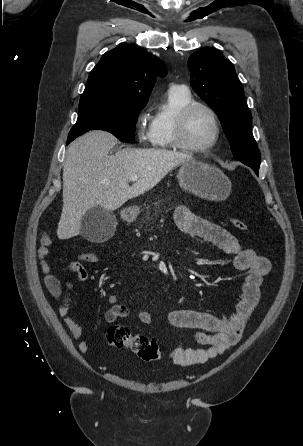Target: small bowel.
Segmentation results:
<instances>
[{
	"mask_svg": "<svg viewBox=\"0 0 303 446\" xmlns=\"http://www.w3.org/2000/svg\"><path fill=\"white\" fill-rule=\"evenodd\" d=\"M175 223L180 231L192 237L210 242L223 252L233 255V266L238 271L246 272L247 276L242 287V295L235 310L228 316L219 317L209 312L177 309L168 314L169 322L179 328L188 329L203 348H175L171 354V360L178 365L188 366L205 363L206 361L222 354L240 339L251 314L260 299V287L264 277L270 271V262L267 258L258 255L253 249L240 245L225 228L205 218L195 215L188 207L180 206L174 215ZM37 248V258L44 274V283L54 299L59 301V315L75 339H80L78 348L81 352L90 351L88 341L81 339L83 329L69 314V304L73 289L76 285L85 282L89 278L87 269L79 262H70L65 269L75 274V277L66 284L63 290L61 281L51 272L47 261L50 248L53 245L51 237L42 234ZM109 308L104 314L105 321L113 323L119 318H126L129 309L119 303V296L112 294L108 297ZM142 324L152 322L150 309L140 310L137 314Z\"/></svg>",
	"mask_w": 303,
	"mask_h": 446,
	"instance_id": "small-bowel-1",
	"label": "small bowel"
}]
</instances>
